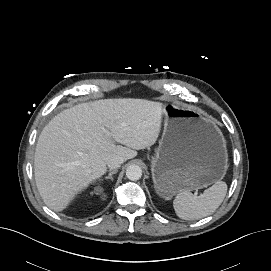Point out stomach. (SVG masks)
<instances>
[{
    "instance_id": "1",
    "label": "stomach",
    "mask_w": 271,
    "mask_h": 271,
    "mask_svg": "<svg viewBox=\"0 0 271 271\" xmlns=\"http://www.w3.org/2000/svg\"><path fill=\"white\" fill-rule=\"evenodd\" d=\"M164 130L151 162L161 198L205 188L221 180L228 166L226 140L214 121L190 106H164Z\"/></svg>"
}]
</instances>
